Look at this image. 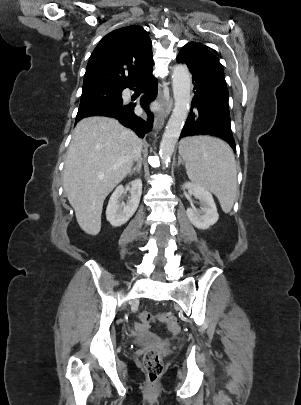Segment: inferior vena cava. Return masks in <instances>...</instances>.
<instances>
[{
    "instance_id": "602c4592",
    "label": "inferior vena cava",
    "mask_w": 301,
    "mask_h": 405,
    "mask_svg": "<svg viewBox=\"0 0 301 405\" xmlns=\"http://www.w3.org/2000/svg\"><path fill=\"white\" fill-rule=\"evenodd\" d=\"M141 149H142V144L141 143L137 144V146L135 147L134 152H133L134 160L139 161L140 156H141Z\"/></svg>"
}]
</instances>
